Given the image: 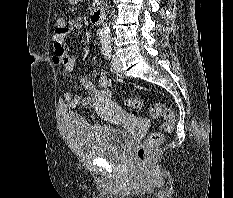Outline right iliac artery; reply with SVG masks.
Listing matches in <instances>:
<instances>
[{
    "instance_id": "obj_1",
    "label": "right iliac artery",
    "mask_w": 233,
    "mask_h": 198,
    "mask_svg": "<svg viewBox=\"0 0 233 198\" xmlns=\"http://www.w3.org/2000/svg\"><path fill=\"white\" fill-rule=\"evenodd\" d=\"M103 48H104V51H105V55H106V57L108 58V59H110L111 58V56H112V48H111V45H110V43H104V45H103Z\"/></svg>"
}]
</instances>
